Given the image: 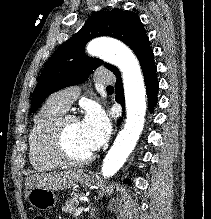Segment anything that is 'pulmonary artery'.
Here are the masks:
<instances>
[{
	"label": "pulmonary artery",
	"instance_id": "e3ab8cb5",
	"mask_svg": "<svg viewBox=\"0 0 211 219\" xmlns=\"http://www.w3.org/2000/svg\"><path fill=\"white\" fill-rule=\"evenodd\" d=\"M95 80L101 84H112L114 82V76L111 73L102 70L96 73ZM78 95V87H69L54 94L50 100L67 109Z\"/></svg>",
	"mask_w": 211,
	"mask_h": 219
}]
</instances>
